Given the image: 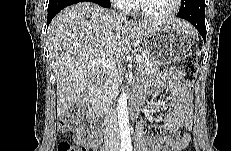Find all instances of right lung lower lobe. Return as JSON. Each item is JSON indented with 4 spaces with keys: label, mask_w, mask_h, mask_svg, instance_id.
<instances>
[{
    "label": "right lung lower lobe",
    "mask_w": 231,
    "mask_h": 151,
    "mask_svg": "<svg viewBox=\"0 0 231 151\" xmlns=\"http://www.w3.org/2000/svg\"><path fill=\"white\" fill-rule=\"evenodd\" d=\"M82 0H49L48 5V17H47V26L53 19V17L60 12L63 8L78 3ZM93 3H96L102 7H110V1L109 0H90Z\"/></svg>",
    "instance_id": "right-lung-lower-lobe-1"
}]
</instances>
